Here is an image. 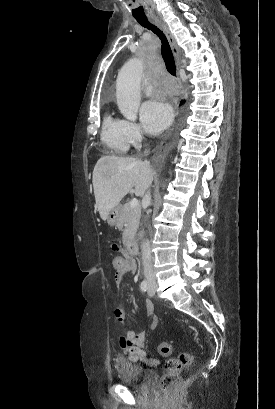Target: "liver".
<instances>
[{"instance_id": "liver-1", "label": "liver", "mask_w": 275, "mask_h": 409, "mask_svg": "<svg viewBox=\"0 0 275 409\" xmlns=\"http://www.w3.org/2000/svg\"><path fill=\"white\" fill-rule=\"evenodd\" d=\"M93 188L96 205L102 221H106L113 207L132 186L135 194L143 196L153 180V170L149 160L132 156H101L93 170Z\"/></svg>"}]
</instances>
